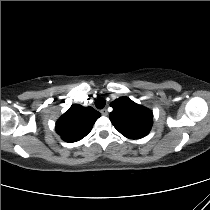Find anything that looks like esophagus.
<instances>
[{
  "label": "esophagus",
  "instance_id": "1",
  "mask_svg": "<svg viewBox=\"0 0 210 210\" xmlns=\"http://www.w3.org/2000/svg\"><path fill=\"white\" fill-rule=\"evenodd\" d=\"M100 113L103 115V116H107L108 115V112H107V109H102L101 111H100Z\"/></svg>",
  "mask_w": 210,
  "mask_h": 210
}]
</instances>
